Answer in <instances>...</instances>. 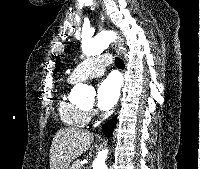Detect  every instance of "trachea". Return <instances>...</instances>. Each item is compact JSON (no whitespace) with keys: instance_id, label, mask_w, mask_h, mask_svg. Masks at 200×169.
<instances>
[{"instance_id":"trachea-1","label":"trachea","mask_w":200,"mask_h":169,"mask_svg":"<svg viewBox=\"0 0 200 169\" xmlns=\"http://www.w3.org/2000/svg\"><path fill=\"white\" fill-rule=\"evenodd\" d=\"M115 65L119 68V69H123L124 68V62L122 59L120 58H115Z\"/></svg>"}]
</instances>
